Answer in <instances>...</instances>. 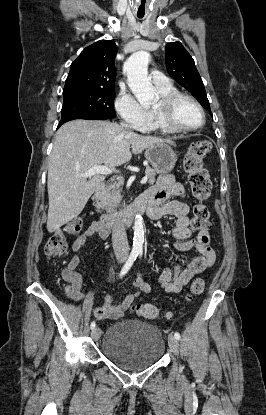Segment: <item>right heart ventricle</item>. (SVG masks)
Instances as JSON below:
<instances>
[{
    "label": "right heart ventricle",
    "mask_w": 266,
    "mask_h": 415,
    "mask_svg": "<svg viewBox=\"0 0 266 415\" xmlns=\"http://www.w3.org/2000/svg\"><path fill=\"white\" fill-rule=\"evenodd\" d=\"M156 89L160 95H165V94L177 91V89L171 83L166 84V85H159V86L156 85ZM149 112H150V120L147 126L148 130L159 131L162 133L172 132L165 125H163V123L159 120L154 107H152L149 110Z\"/></svg>",
    "instance_id": "obj_1"
}]
</instances>
